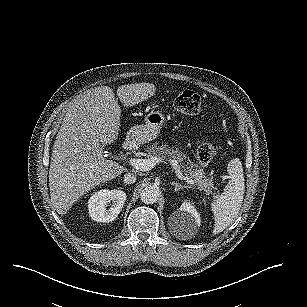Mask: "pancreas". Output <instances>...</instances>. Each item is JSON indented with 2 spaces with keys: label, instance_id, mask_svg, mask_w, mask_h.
<instances>
[{
  "label": "pancreas",
  "instance_id": "cf45deb5",
  "mask_svg": "<svg viewBox=\"0 0 307 307\" xmlns=\"http://www.w3.org/2000/svg\"><path fill=\"white\" fill-rule=\"evenodd\" d=\"M145 151L149 157H157L160 161L167 160L171 167L175 169L174 162L178 163L177 169H179L184 175L194 180V185L198 187L200 191H204L206 195L212 193L214 189L213 178L207 177L206 173L198 164L182 163L185 159V155L178 149L169 148L168 145L159 146L157 142L146 146Z\"/></svg>",
  "mask_w": 307,
  "mask_h": 307
}]
</instances>
